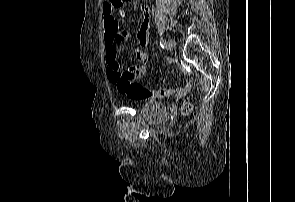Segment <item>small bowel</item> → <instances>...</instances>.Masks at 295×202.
Instances as JSON below:
<instances>
[{
  "mask_svg": "<svg viewBox=\"0 0 295 202\" xmlns=\"http://www.w3.org/2000/svg\"><path fill=\"white\" fill-rule=\"evenodd\" d=\"M115 12L122 13L123 6H116L111 0H105L103 5L104 45L106 48L108 77L113 83L117 82V71L120 69L128 68L134 78H140L146 72L148 56L142 49L148 44L150 19L148 6L142 5L140 7L141 21L137 31L138 44L132 51L133 57L138 64L123 67L120 62V46L125 41L126 34L119 29V19Z\"/></svg>",
  "mask_w": 295,
  "mask_h": 202,
  "instance_id": "obj_1",
  "label": "small bowel"
}]
</instances>
